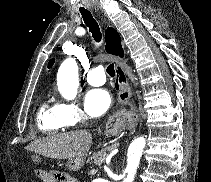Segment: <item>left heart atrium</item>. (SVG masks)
Here are the masks:
<instances>
[{
    "mask_svg": "<svg viewBox=\"0 0 211 182\" xmlns=\"http://www.w3.org/2000/svg\"><path fill=\"white\" fill-rule=\"evenodd\" d=\"M111 104V97L106 90L93 89L85 96V107L90 116L98 117L104 114Z\"/></svg>",
    "mask_w": 211,
    "mask_h": 182,
    "instance_id": "39dd6f15",
    "label": "left heart atrium"
}]
</instances>
